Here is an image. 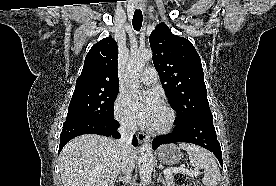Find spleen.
Instances as JSON below:
<instances>
[{
	"label": "spleen",
	"instance_id": "obj_1",
	"mask_svg": "<svg viewBox=\"0 0 276 186\" xmlns=\"http://www.w3.org/2000/svg\"><path fill=\"white\" fill-rule=\"evenodd\" d=\"M179 148L185 150L189 155L192 166L204 169L202 182L205 186H217L220 182V170L212 156L206 149L188 143H180Z\"/></svg>",
	"mask_w": 276,
	"mask_h": 186
}]
</instances>
